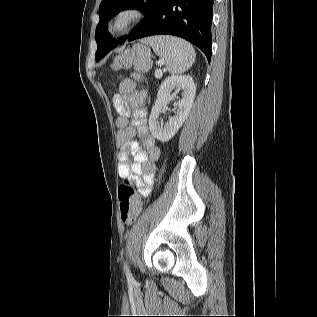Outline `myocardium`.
Masks as SVG:
<instances>
[{
	"mask_svg": "<svg viewBox=\"0 0 317 317\" xmlns=\"http://www.w3.org/2000/svg\"><path fill=\"white\" fill-rule=\"evenodd\" d=\"M143 17L141 10L135 7H123L109 19L107 32L110 36H120L127 33Z\"/></svg>",
	"mask_w": 317,
	"mask_h": 317,
	"instance_id": "obj_1",
	"label": "myocardium"
}]
</instances>
